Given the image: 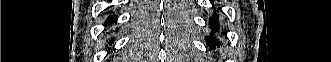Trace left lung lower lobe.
Wrapping results in <instances>:
<instances>
[{
    "label": "left lung lower lobe",
    "instance_id": "1",
    "mask_svg": "<svg viewBox=\"0 0 331 62\" xmlns=\"http://www.w3.org/2000/svg\"><path fill=\"white\" fill-rule=\"evenodd\" d=\"M218 19H219V15L216 13V10H215L214 14L212 15V17L209 20V26L211 27L212 32H211L210 36H207V39H206V41L208 42L210 47L214 46V44L218 43V40L213 35L220 31V24H219Z\"/></svg>",
    "mask_w": 331,
    "mask_h": 62
}]
</instances>
